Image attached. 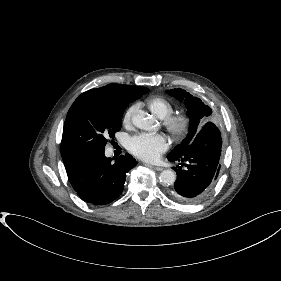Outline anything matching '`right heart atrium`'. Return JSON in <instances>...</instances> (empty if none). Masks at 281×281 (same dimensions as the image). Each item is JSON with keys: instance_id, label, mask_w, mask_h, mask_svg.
Returning <instances> with one entry per match:
<instances>
[{"instance_id": "obj_1", "label": "right heart atrium", "mask_w": 281, "mask_h": 281, "mask_svg": "<svg viewBox=\"0 0 281 281\" xmlns=\"http://www.w3.org/2000/svg\"><path fill=\"white\" fill-rule=\"evenodd\" d=\"M136 109H137V106H136V105H132V106H130V107L125 111V113H124V115H123V122H124V123L127 124V123H129V122L131 121V119H132V117H133V115H134Z\"/></svg>"}]
</instances>
